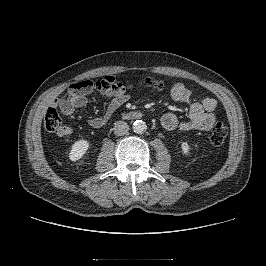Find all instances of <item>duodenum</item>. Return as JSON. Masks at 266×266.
<instances>
[{
  "label": "duodenum",
  "instance_id": "obj_1",
  "mask_svg": "<svg viewBox=\"0 0 266 266\" xmlns=\"http://www.w3.org/2000/svg\"><path fill=\"white\" fill-rule=\"evenodd\" d=\"M126 118L128 119H139L142 117V112L140 111H132V112H129L125 115Z\"/></svg>",
  "mask_w": 266,
  "mask_h": 266
}]
</instances>
